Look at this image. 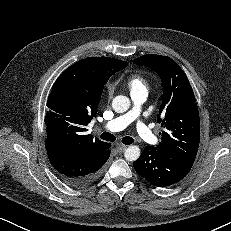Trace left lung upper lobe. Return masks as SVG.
Masks as SVG:
<instances>
[{
	"label": "left lung upper lobe",
	"mask_w": 231,
	"mask_h": 231,
	"mask_svg": "<svg viewBox=\"0 0 231 231\" xmlns=\"http://www.w3.org/2000/svg\"><path fill=\"white\" fill-rule=\"evenodd\" d=\"M133 62L151 67L162 81L163 95L157 120L164 126V131L162 143L152 148L166 157L194 163L200 141V119L196 99L184 71L166 56L143 55Z\"/></svg>",
	"instance_id": "left-lung-upper-lobe-1"
}]
</instances>
